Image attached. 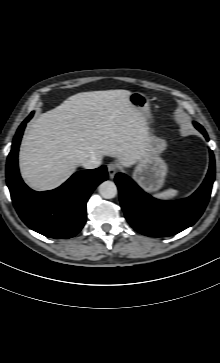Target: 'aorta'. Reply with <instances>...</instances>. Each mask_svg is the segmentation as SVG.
<instances>
[{
	"instance_id": "762f6f07",
	"label": "aorta",
	"mask_w": 220,
	"mask_h": 363,
	"mask_svg": "<svg viewBox=\"0 0 220 363\" xmlns=\"http://www.w3.org/2000/svg\"><path fill=\"white\" fill-rule=\"evenodd\" d=\"M99 193L105 199H112L117 195V186L112 181H104L99 185Z\"/></svg>"
}]
</instances>
